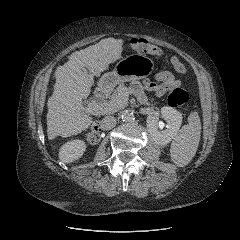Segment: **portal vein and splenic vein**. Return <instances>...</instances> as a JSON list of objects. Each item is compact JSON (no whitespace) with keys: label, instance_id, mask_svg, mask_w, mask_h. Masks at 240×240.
I'll use <instances>...</instances> for the list:
<instances>
[{"label":"portal vein and splenic vein","instance_id":"obj_1","mask_svg":"<svg viewBox=\"0 0 240 240\" xmlns=\"http://www.w3.org/2000/svg\"><path fill=\"white\" fill-rule=\"evenodd\" d=\"M116 102L109 101L105 103H89L84 109L87 113H106L115 110Z\"/></svg>","mask_w":240,"mask_h":240}]
</instances>
